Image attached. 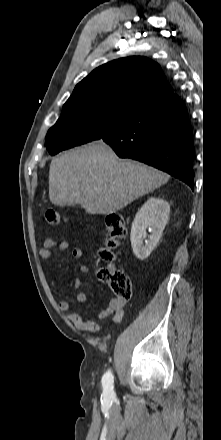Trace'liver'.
Instances as JSON below:
<instances>
[{"instance_id": "6515ba94", "label": "liver", "mask_w": 221, "mask_h": 440, "mask_svg": "<svg viewBox=\"0 0 221 440\" xmlns=\"http://www.w3.org/2000/svg\"><path fill=\"white\" fill-rule=\"evenodd\" d=\"M169 176L142 163L119 159L103 141L53 159L49 199L80 204L88 214H110L166 183Z\"/></svg>"}]
</instances>
